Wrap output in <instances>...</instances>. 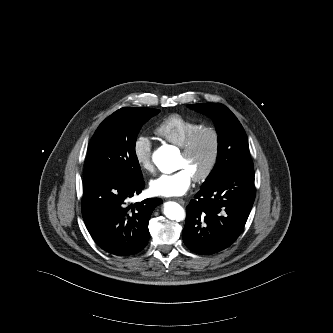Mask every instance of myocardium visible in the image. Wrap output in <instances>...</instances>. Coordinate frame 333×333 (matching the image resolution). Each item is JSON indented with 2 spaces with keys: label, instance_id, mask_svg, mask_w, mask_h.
Segmentation results:
<instances>
[{
  "label": "myocardium",
  "instance_id": "1",
  "mask_svg": "<svg viewBox=\"0 0 333 333\" xmlns=\"http://www.w3.org/2000/svg\"><path fill=\"white\" fill-rule=\"evenodd\" d=\"M204 134H208L212 140V147L209 160L205 168L199 174L193 176V180L196 182H202L206 180L214 171L220 152V135L216 128L212 126H201L196 129L190 136L186 139L182 146V154L184 156H190L194 151L198 140Z\"/></svg>",
  "mask_w": 333,
  "mask_h": 333
}]
</instances>
